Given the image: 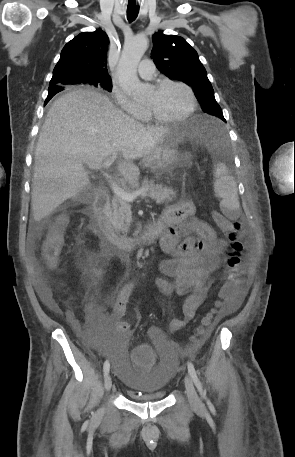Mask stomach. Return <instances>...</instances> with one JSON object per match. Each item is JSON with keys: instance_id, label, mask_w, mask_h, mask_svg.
I'll list each match as a JSON object with an SVG mask.
<instances>
[{"instance_id": "0dacf381", "label": "stomach", "mask_w": 295, "mask_h": 457, "mask_svg": "<svg viewBox=\"0 0 295 457\" xmlns=\"http://www.w3.org/2000/svg\"><path fill=\"white\" fill-rule=\"evenodd\" d=\"M209 128L199 118H192L179 130L166 135L163 141L143 159V165L151 170L171 171L183 164L179 145L188 141H204Z\"/></svg>"}]
</instances>
